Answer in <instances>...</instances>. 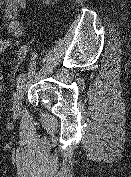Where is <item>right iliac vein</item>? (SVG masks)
<instances>
[{
    "instance_id": "63e3f726",
    "label": "right iliac vein",
    "mask_w": 131,
    "mask_h": 177,
    "mask_svg": "<svg viewBox=\"0 0 131 177\" xmlns=\"http://www.w3.org/2000/svg\"><path fill=\"white\" fill-rule=\"evenodd\" d=\"M25 89H26V85L23 84L19 87L17 92L14 94L12 110L15 114H17L20 111Z\"/></svg>"
}]
</instances>
